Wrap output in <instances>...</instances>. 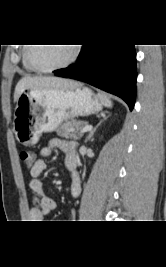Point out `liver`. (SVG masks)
<instances>
[{"instance_id": "6515ba94", "label": "liver", "mask_w": 166, "mask_h": 267, "mask_svg": "<svg viewBox=\"0 0 166 267\" xmlns=\"http://www.w3.org/2000/svg\"><path fill=\"white\" fill-rule=\"evenodd\" d=\"M79 86L78 83L51 76L30 77L26 76L19 80L15 87L14 102H17L21 93L28 89H69Z\"/></svg>"}]
</instances>
